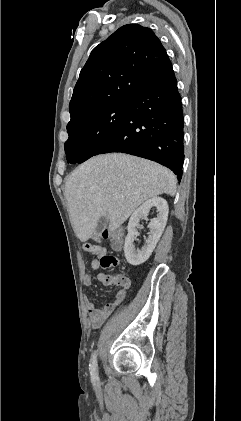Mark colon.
Here are the masks:
<instances>
[{
    "instance_id": "colon-1",
    "label": "colon",
    "mask_w": 241,
    "mask_h": 421,
    "mask_svg": "<svg viewBox=\"0 0 241 421\" xmlns=\"http://www.w3.org/2000/svg\"><path fill=\"white\" fill-rule=\"evenodd\" d=\"M99 239H108L112 242L113 246L115 248H120L123 243V233L121 230H116L114 232H108L105 230L99 237ZM84 250L86 251H95L97 248V245L94 244H85L83 246ZM118 264V260L116 257L112 255H106L101 258L100 265L103 270L101 274L106 278L107 281H114L116 283H123L125 282V278L120 275H114L110 273V270L116 267Z\"/></svg>"
}]
</instances>
